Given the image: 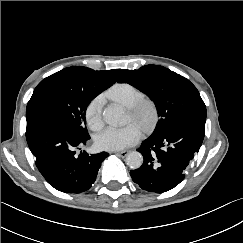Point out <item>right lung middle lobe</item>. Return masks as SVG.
<instances>
[{"label":"right lung middle lobe","instance_id":"1","mask_svg":"<svg viewBox=\"0 0 243 243\" xmlns=\"http://www.w3.org/2000/svg\"><path fill=\"white\" fill-rule=\"evenodd\" d=\"M102 90L83 89L63 70L43 79L30 98L26 113L45 110L63 118L80 135H88L86 108Z\"/></svg>","mask_w":243,"mask_h":243}]
</instances>
